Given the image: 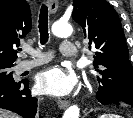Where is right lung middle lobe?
<instances>
[{
    "label": "right lung middle lobe",
    "instance_id": "right-lung-middle-lobe-1",
    "mask_svg": "<svg viewBox=\"0 0 133 118\" xmlns=\"http://www.w3.org/2000/svg\"><path fill=\"white\" fill-rule=\"evenodd\" d=\"M14 64H0V84L14 83L12 67Z\"/></svg>",
    "mask_w": 133,
    "mask_h": 118
}]
</instances>
